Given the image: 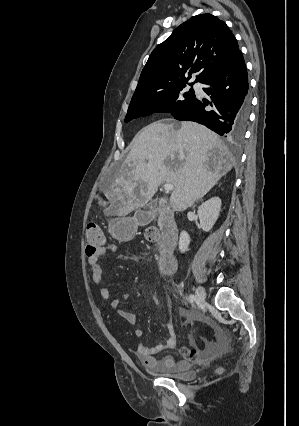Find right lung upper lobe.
Returning a JSON list of instances; mask_svg holds the SVG:
<instances>
[{"mask_svg": "<svg viewBox=\"0 0 299 426\" xmlns=\"http://www.w3.org/2000/svg\"><path fill=\"white\" fill-rule=\"evenodd\" d=\"M239 53L237 40L224 21L208 13L196 15L152 51L131 101L186 84L193 73H198L195 82H202Z\"/></svg>", "mask_w": 299, "mask_h": 426, "instance_id": "obj_1", "label": "right lung upper lobe"}]
</instances>
